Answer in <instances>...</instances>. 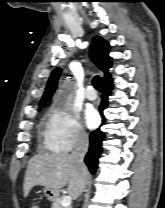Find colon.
<instances>
[{"instance_id":"obj_1","label":"colon","mask_w":165,"mask_h":208,"mask_svg":"<svg viewBox=\"0 0 165 208\" xmlns=\"http://www.w3.org/2000/svg\"><path fill=\"white\" fill-rule=\"evenodd\" d=\"M29 208H41V205L37 202H32L30 204Z\"/></svg>"}]
</instances>
